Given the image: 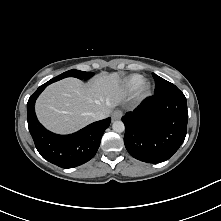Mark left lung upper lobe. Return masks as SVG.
I'll return each instance as SVG.
<instances>
[{
    "label": "left lung upper lobe",
    "mask_w": 221,
    "mask_h": 221,
    "mask_svg": "<svg viewBox=\"0 0 221 221\" xmlns=\"http://www.w3.org/2000/svg\"><path fill=\"white\" fill-rule=\"evenodd\" d=\"M152 75L155 79V95L179 91V89L174 84L168 82L167 80L159 77L154 73Z\"/></svg>",
    "instance_id": "obj_1"
}]
</instances>
